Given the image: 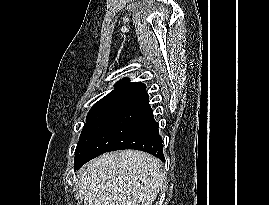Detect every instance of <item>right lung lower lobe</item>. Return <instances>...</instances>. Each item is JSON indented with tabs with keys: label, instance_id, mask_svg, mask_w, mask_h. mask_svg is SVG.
<instances>
[{
	"label": "right lung lower lobe",
	"instance_id": "right-lung-lower-lobe-1",
	"mask_svg": "<svg viewBox=\"0 0 269 205\" xmlns=\"http://www.w3.org/2000/svg\"><path fill=\"white\" fill-rule=\"evenodd\" d=\"M123 149L141 150L165 162L162 138L148 100L125 109L103 127L81 151L74 169L102 153Z\"/></svg>",
	"mask_w": 269,
	"mask_h": 205
}]
</instances>
